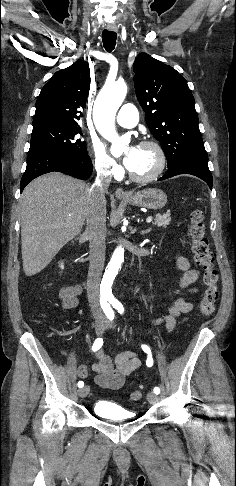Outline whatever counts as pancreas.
<instances>
[{
  "label": "pancreas",
  "instance_id": "1",
  "mask_svg": "<svg viewBox=\"0 0 236 486\" xmlns=\"http://www.w3.org/2000/svg\"><path fill=\"white\" fill-rule=\"evenodd\" d=\"M170 223V215L168 213L163 214V215H156L154 219V225H157L158 227H167Z\"/></svg>",
  "mask_w": 236,
  "mask_h": 486
}]
</instances>
